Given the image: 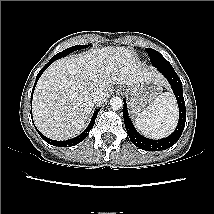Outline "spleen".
Masks as SVG:
<instances>
[{
    "label": "spleen",
    "instance_id": "1",
    "mask_svg": "<svg viewBox=\"0 0 214 214\" xmlns=\"http://www.w3.org/2000/svg\"><path fill=\"white\" fill-rule=\"evenodd\" d=\"M178 119L175 98L169 92L159 95L135 119V127L150 138H163L173 132Z\"/></svg>",
    "mask_w": 214,
    "mask_h": 214
}]
</instances>
